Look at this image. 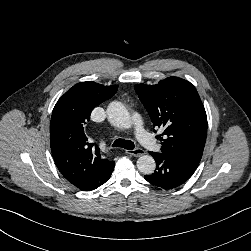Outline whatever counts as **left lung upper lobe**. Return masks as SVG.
<instances>
[{
    "label": "left lung upper lobe",
    "instance_id": "1",
    "mask_svg": "<svg viewBox=\"0 0 251 251\" xmlns=\"http://www.w3.org/2000/svg\"><path fill=\"white\" fill-rule=\"evenodd\" d=\"M135 91L154 128L164 129L157 136L162 154L197 168L206 142L207 116L194 85L169 77L156 85L138 84Z\"/></svg>",
    "mask_w": 251,
    "mask_h": 251
}]
</instances>
